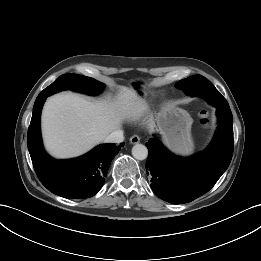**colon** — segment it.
<instances>
[{"mask_svg":"<svg viewBox=\"0 0 261 261\" xmlns=\"http://www.w3.org/2000/svg\"><path fill=\"white\" fill-rule=\"evenodd\" d=\"M200 121L203 125H206L208 122V114L206 112H202L200 114Z\"/></svg>","mask_w":261,"mask_h":261,"instance_id":"obj_1","label":"colon"}]
</instances>
